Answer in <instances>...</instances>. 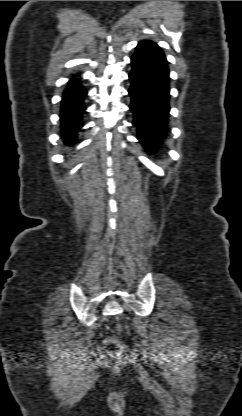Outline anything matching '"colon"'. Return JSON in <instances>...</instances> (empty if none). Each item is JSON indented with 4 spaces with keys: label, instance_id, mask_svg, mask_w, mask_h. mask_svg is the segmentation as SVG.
<instances>
[{
    "label": "colon",
    "instance_id": "obj_1",
    "mask_svg": "<svg viewBox=\"0 0 242 416\" xmlns=\"http://www.w3.org/2000/svg\"><path fill=\"white\" fill-rule=\"evenodd\" d=\"M118 329L119 330H122V327L119 325L118 326ZM105 346H106V348L108 350H110V351H112L114 353H118L121 350V348H122L121 342L118 339L114 338V337L108 338L105 341Z\"/></svg>",
    "mask_w": 242,
    "mask_h": 416
}]
</instances>
